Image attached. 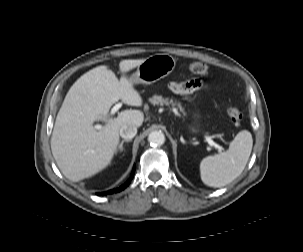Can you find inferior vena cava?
Masks as SVG:
<instances>
[{"label": "inferior vena cava", "mask_w": 303, "mask_h": 252, "mask_svg": "<svg viewBox=\"0 0 303 252\" xmlns=\"http://www.w3.org/2000/svg\"><path fill=\"white\" fill-rule=\"evenodd\" d=\"M119 133L124 139H132L137 134V127L133 125H124L120 128Z\"/></svg>", "instance_id": "602c4592"}]
</instances>
